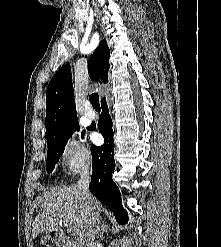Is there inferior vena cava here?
Instances as JSON below:
<instances>
[{
  "instance_id": "602c4592",
  "label": "inferior vena cava",
  "mask_w": 221,
  "mask_h": 247,
  "mask_svg": "<svg viewBox=\"0 0 221 247\" xmlns=\"http://www.w3.org/2000/svg\"><path fill=\"white\" fill-rule=\"evenodd\" d=\"M90 177H91V169L89 167H84L80 173V179L78 180L76 185L86 203L87 208L90 210V213L92 215L91 225L87 229L85 239L82 242V245L85 247L94 246L95 237L99 230V222H100L99 214L94 208V202L89 192Z\"/></svg>"
}]
</instances>
